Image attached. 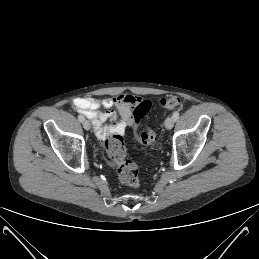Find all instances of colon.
I'll return each mask as SVG.
<instances>
[{
    "instance_id": "5ec220e1",
    "label": "colon",
    "mask_w": 259,
    "mask_h": 259,
    "mask_svg": "<svg viewBox=\"0 0 259 259\" xmlns=\"http://www.w3.org/2000/svg\"><path fill=\"white\" fill-rule=\"evenodd\" d=\"M182 99L176 95H169L160 99L159 104L165 109H174L181 105ZM152 102L150 100L140 101L133 111L134 128L137 129L140 122L148 114ZM136 140L142 145H150L155 140L154 131L146 127L140 134L135 133ZM106 153L110 163L115 167L118 179L129 187L140 185L139 170L136 163L126 158V149L123 136L119 133L112 134L105 142Z\"/></svg>"
}]
</instances>
